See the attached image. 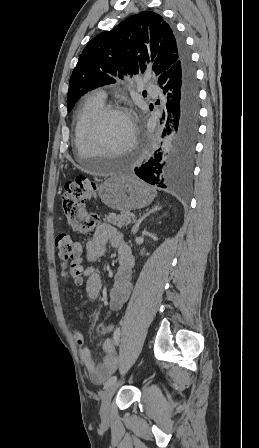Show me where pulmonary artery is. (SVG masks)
I'll return each instance as SVG.
<instances>
[{
	"label": "pulmonary artery",
	"mask_w": 259,
	"mask_h": 448,
	"mask_svg": "<svg viewBox=\"0 0 259 448\" xmlns=\"http://www.w3.org/2000/svg\"><path fill=\"white\" fill-rule=\"evenodd\" d=\"M94 93L96 94V96L99 99L105 101V99L107 97V92L105 91L104 88L100 87V88L96 89Z\"/></svg>",
	"instance_id": "obj_1"
}]
</instances>
